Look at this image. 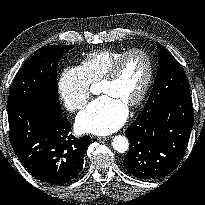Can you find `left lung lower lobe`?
Wrapping results in <instances>:
<instances>
[{
	"label": "left lung lower lobe",
	"instance_id": "left-lung-lower-lobe-1",
	"mask_svg": "<svg viewBox=\"0 0 205 205\" xmlns=\"http://www.w3.org/2000/svg\"><path fill=\"white\" fill-rule=\"evenodd\" d=\"M190 94L175 95L152 111H142L126 130L130 142L123 161L140 179H158L171 173L185 152L193 126Z\"/></svg>",
	"mask_w": 205,
	"mask_h": 205
}]
</instances>
